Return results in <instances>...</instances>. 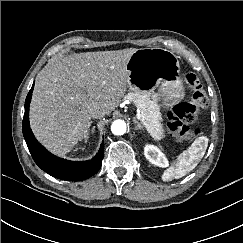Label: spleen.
Returning <instances> with one entry per match:
<instances>
[{
	"label": "spleen",
	"mask_w": 243,
	"mask_h": 243,
	"mask_svg": "<svg viewBox=\"0 0 243 243\" xmlns=\"http://www.w3.org/2000/svg\"><path fill=\"white\" fill-rule=\"evenodd\" d=\"M208 146V138L201 136L195 139L192 145L183 151L177 161L162 174L163 181L178 179L192 171L203 158Z\"/></svg>",
	"instance_id": "3e777b00"
}]
</instances>
